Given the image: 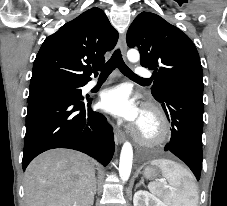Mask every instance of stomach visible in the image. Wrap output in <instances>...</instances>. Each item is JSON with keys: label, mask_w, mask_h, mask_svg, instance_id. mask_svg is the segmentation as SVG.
<instances>
[{"label": "stomach", "mask_w": 227, "mask_h": 206, "mask_svg": "<svg viewBox=\"0 0 227 206\" xmlns=\"http://www.w3.org/2000/svg\"><path fill=\"white\" fill-rule=\"evenodd\" d=\"M142 174L146 179H154L158 176L159 173L156 168L147 166L144 168Z\"/></svg>", "instance_id": "stomach-1"}]
</instances>
